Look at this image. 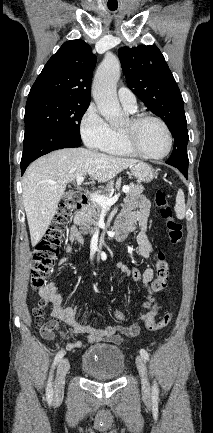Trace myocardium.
Segmentation results:
<instances>
[{
    "mask_svg": "<svg viewBox=\"0 0 213 433\" xmlns=\"http://www.w3.org/2000/svg\"><path fill=\"white\" fill-rule=\"evenodd\" d=\"M147 120L156 121L163 127V129L166 132L168 138V147L166 151L162 154L159 155L148 154L144 152L138 145L137 138H136L137 128L140 126V124H142L144 121ZM128 122L129 125L126 128H123L121 130V134L125 145L134 155L146 159L160 160L167 157L171 153L173 148V143H174L173 134L169 126L167 125V123L162 118L149 113H138L131 116Z\"/></svg>",
    "mask_w": 213,
    "mask_h": 433,
    "instance_id": "1",
    "label": "myocardium"
}]
</instances>
